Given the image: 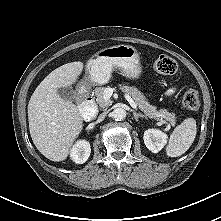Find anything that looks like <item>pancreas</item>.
<instances>
[{
  "label": "pancreas",
  "mask_w": 221,
  "mask_h": 221,
  "mask_svg": "<svg viewBox=\"0 0 221 221\" xmlns=\"http://www.w3.org/2000/svg\"><path fill=\"white\" fill-rule=\"evenodd\" d=\"M119 88L132 97L135 104L141 111L145 113L146 116L154 119L164 118L167 121H169L171 125H175V114L169 113L166 109L156 110V107L150 105L144 94L141 91H139L136 87H131L125 84H119ZM105 89L106 87H97L94 90L96 101L98 105L103 109H106L111 104L110 100L104 99Z\"/></svg>",
  "instance_id": "1"
}]
</instances>
